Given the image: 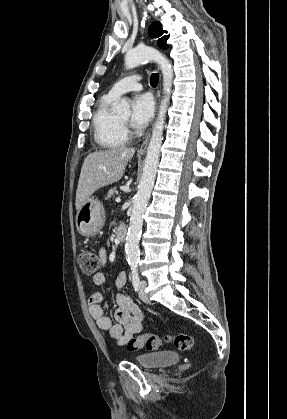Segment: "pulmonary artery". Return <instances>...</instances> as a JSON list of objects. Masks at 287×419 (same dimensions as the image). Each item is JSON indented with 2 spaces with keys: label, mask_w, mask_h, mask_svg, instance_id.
Here are the masks:
<instances>
[{
  "label": "pulmonary artery",
  "mask_w": 287,
  "mask_h": 419,
  "mask_svg": "<svg viewBox=\"0 0 287 419\" xmlns=\"http://www.w3.org/2000/svg\"><path fill=\"white\" fill-rule=\"evenodd\" d=\"M140 89H142V84L139 81V77L137 75H130L116 82L109 90V94L117 98L126 92Z\"/></svg>",
  "instance_id": "pulmonary-artery-1"
}]
</instances>
